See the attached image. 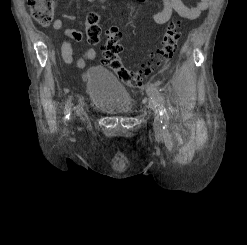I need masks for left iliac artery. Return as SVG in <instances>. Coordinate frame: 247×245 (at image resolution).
Listing matches in <instances>:
<instances>
[{
    "instance_id": "obj_1",
    "label": "left iliac artery",
    "mask_w": 247,
    "mask_h": 245,
    "mask_svg": "<svg viewBox=\"0 0 247 245\" xmlns=\"http://www.w3.org/2000/svg\"><path fill=\"white\" fill-rule=\"evenodd\" d=\"M147 93L151 97V99L154 102V104H156V106L158 107L159 114H160V117H161V122L164 125L163 128H166L168 126V124H169V115H168L167 110H166V108L164 106V99H163L162 95L156 89V87L154 85H150L147 88Z\"/></svg>"
}]
</instances>
